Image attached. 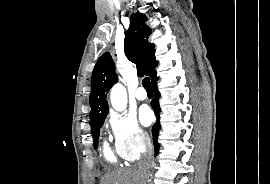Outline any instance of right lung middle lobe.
<instances>
[{
    "instance_id": "1",
    "label": "right lung middle lobe",
    "mask_w": 270,
    "mask_h": 184,
    "mask_svg": "<svg viewBox=\"0 0 270 184\" xmlns=\"http://www.w3.org/2000/svg\"><path fill=\"white\" fill-rule=\"evenodd\" d=\"M104 121L97 122L93 125H91V133L93 137V145L94 149L98 147V139H99V134H100V127H102Z\"/></svg>"
}]
</instances>
